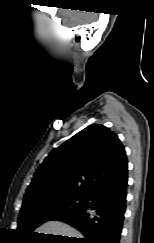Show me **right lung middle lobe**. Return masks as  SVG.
<instances>
[{
  "instance_id": "right-lung-middle-lobe-1",
  "label": "right lung middle lobe",
  "mask_w": 154,
  "mask_h": 243,
  "mask_svg": "<svg viewBox=\"0 0 154 243\" xmlns=\"http://www.w3.org/2000/svg\"><path fill=\"white\" fill-rule=\"evenodd\" d=\"M86 197L61 195L23 205L19 213L17 231L29 236L41 224L57 216L82 208Z\"/></svg>"
}]
</instances>
